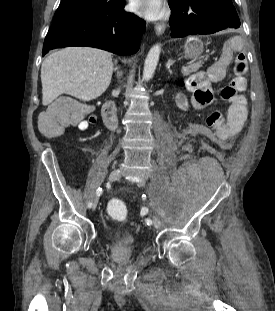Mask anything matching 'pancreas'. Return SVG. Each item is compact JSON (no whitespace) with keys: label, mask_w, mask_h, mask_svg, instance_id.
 I'll return each mask as SVG.
<instances>
[{"label":"pancreas","mask_w":275,"mask_h":311,"mask_svg":"<svg viewBox=\"0 0 275 311\" xmlns=\"http://www.w3.org/2000/svg\"><path fill=\"white\" fill-rule=\"evenodd\" d=\"M203 62L199 61L195 64H192L190 66L184 67L183 68V74L184 75H189L191 72L196 71L202 64Z\"/></svg>","instance_id":"1"}]
</instances>
